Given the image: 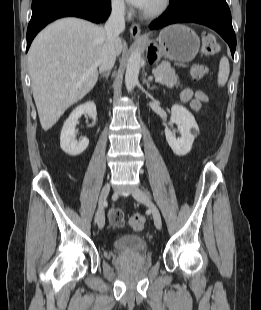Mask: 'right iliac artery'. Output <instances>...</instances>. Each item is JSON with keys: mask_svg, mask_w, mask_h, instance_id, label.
Masks as SVG:
<instances>
[{"mask_svg": "<svg viewBox=\"0 0 261 310\" xmlns=\"http://www.w3.org/2000/svg\"><path fill=\"white\" fill-rule=\"evenodd\" d=\"M98 213H99V211H97V213H96L95 221H97Z\"/></svg>", "mask_w": 261, "mask_h": 310, "instance_id": "1", "label": "right iliac artery"}]
</instances>
